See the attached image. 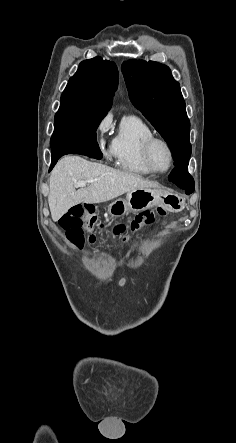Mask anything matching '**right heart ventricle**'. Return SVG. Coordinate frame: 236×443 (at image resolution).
<instances>
[{
  "instance_id": "right-heart-ventricle-1",
  "label": "right heart ventricle",
  "mask_w": 236,
  "mask_h": 443,
  "mask_svg": "<svg viewBox=\"0 0 236 443\" xmlns=\"http://www.w3.org/2000/svg\"><path fill=\"white\" fill-rule=\"evenodd\" d=\"M152 136H154L152 129L141 118L134 115L124 117L112 141L114 164L130 173L151 174L144 163L142 147Z\"/></svg>"
}]
</instances>
